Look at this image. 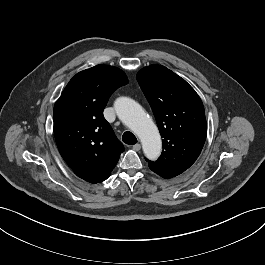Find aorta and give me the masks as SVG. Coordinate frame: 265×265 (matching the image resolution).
Returning <instances> with one entry per match:
<instances>
[{"label": "aorta", "instance_id": "762f6f07", "mask_svg": "<svg viewBox=\"0 0 265 265\" xmlns=\"http://www.w3.org/2000/svg\"><path fill=\"white\" fill-rule=\"evenodd\" d=\"M114 107L119 119L140 138L145 156L151 160L157 159L162 149L161 137L157 126L141 105L131 98L120 97Z\"/></svg>", "mask_w": 265, "mask_h": 265}]
</instances>
